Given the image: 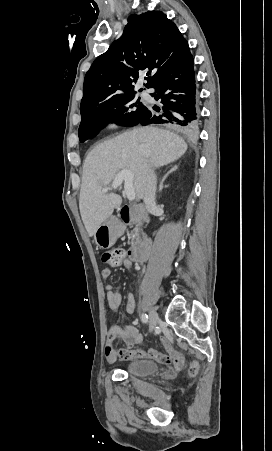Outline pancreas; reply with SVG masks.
Wrapping results in <instances>:
<instances>
[{"instance_id":"pancreas-1","label":"pancreas","mask_w":272,"mask_h":451,"mask_svg":"<svg viewBox=\"0 0 272 451\" xmlns=\"http://www.w3.org/2000/svg\"><path fill=\"white\" fill-rule=\"evenodd\" d=\"M118 229H119L120 235H123L124 229H125L124 224H119ZM142 233H143V231H142L141 226H136V227H134V229H132V231H131L132 239L130 241L131 245H134V243H138V241H140V239L142 237Z\"/></svg>"}]
</instances>
